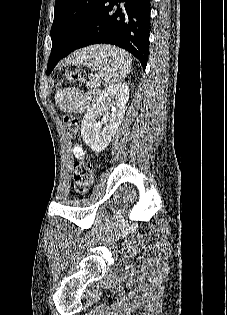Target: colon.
I'll list each match as a JSON object with an SVG mask.
<instances>
[{
	"label": "colon",
	"mask_w": 227,
	"mask_h": 315,
	"mask_svg": "<svg viewBox=\"0 0 227 315\" xmlns=\"http://www.w3.org/2000/svg\"><path fill=\"white\" fill-rule=\"evenodd\" d=\"M66 77L70 81H82V70H69L66 72ZM64 125L67 134L70 137H77L79 135V121L72 115L64 116ZM93 180V166L85 159H78L73 166V185L75 190L83 194L85 193Z\"/></svg>",
	"instance_id": "colon-1"
}]
</instances>
